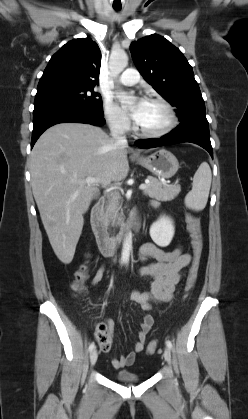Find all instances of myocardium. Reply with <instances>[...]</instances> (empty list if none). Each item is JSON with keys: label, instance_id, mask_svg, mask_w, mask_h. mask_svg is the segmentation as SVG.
I'll return each mask as SVG.
<instances>
[{"label": "myocardium", "instance_id": "myocardium-1", "mask_svg": "<svg viewBox=\"0 0 248 419\" xmlns=\"http://www.w3.org/2000/svg\"><path fill=\"white\" fill-rule=\"evenodd\" d=\"M148 101L158 103L165 109L168 115V122L166 123L164 127L156 131L143 130L139 127L138 123L135 122L134 131L136 132V134L144 138H160L169 134L176 127L178 123V117H177L174 107L165 98L160 97V96L150 97L148 98Z\"/></svg>", "mask_w": 248, "mask_h": 419}]
</instances>
